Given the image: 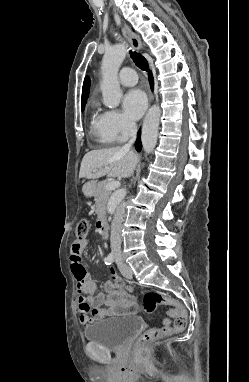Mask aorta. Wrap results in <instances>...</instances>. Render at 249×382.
<instances>
[{
	"label": "aorta",
	"mask_w": 249,
	"mask_h": 382,
	"mask_svg": "<svg viewBox=\"0 0 249 382\" xmlns=\"http://www.w3.org/2000/svg\"><path fill=\"white\" fill-rule=\"evenodd\" d=\"M126 47L124 44H116L105 52L102 65V82L101 90L103 95V103L109 108H116L122 98V91L118 82V71L125 59ZM161 117V109L158 105L152 106L147 112L141 134L143 149L146 153H152L157 143L159 122ZM126 195L125 190L115 192L108 205L109 214H114L119 203Z\"/></svg>",
	"instance_id": "1"
}]
</instances>
